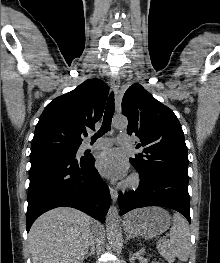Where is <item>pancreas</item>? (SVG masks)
<instances>
[{
    "label": "pancreas",
    "mask_w": 220,
    "mask_h": 263,
    "mask_svg": "<svg viewBox=\"0 0 220 263\" xmlns=\"http://www.w3.org/2000/svg\"><path fill=\"white\" fill-rule=\"evenodd\" d=\"M160 250L162 252V254L164 255L165 258L167 259H171V256H170V251H169V246H168V243L164 244V245H161L160 246ZM169 251V252H168Z\"/></svg>",
    "instance_id": "obj_1"
}]
</instances>
